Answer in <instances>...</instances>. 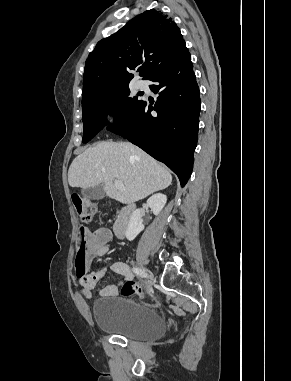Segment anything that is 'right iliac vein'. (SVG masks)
I'll list each match as a JSON object with an SVG mask.
<instances>
[{"instance_id": "obj_1", "label": "right iliac vein", "mask_w": 291, "mask_h": 381, "mask_svg": "<svg viewBox=\"0 0 291 381\" xmlns=\"http://www.w3.org/2000/svg\"><path fill=\"white\" fill-rule=\"evenodd\" d=\"M143 271L147 274L148 278L150 279V282L147 284V293L149 294L152 292V284L151 283L154 281V276L151 273V271L146 269V268H143Z\"/></svg>"}]
</instances>
